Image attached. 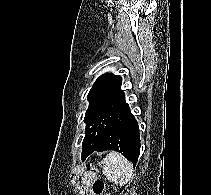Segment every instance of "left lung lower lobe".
<instances>
[{"mask_svg":"<svg viewBox=\"0 0 211 195\" xmlns=\"http://www.w3.org/2000/svg\"><path fill=\"white\" fill-rule=\"evenodd\" d=\"M114 150L137 163L140 153V136L138 123L127 106L122 113L111 120L104 128L97 144L85 155V160L94 151Z\"/></svg>","mask_w":211,"mask_h":195,"instance_id":"1","label":"left lung lower lobe"}]
</instances>
